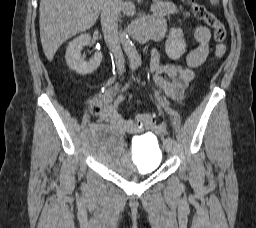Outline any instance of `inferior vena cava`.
Listing matches in <instances>:
<instances>
[{
	"mask_svg": "<svg viewBox=\"0 0 256 228\" xmlns=\"http://www.w3.org/2000/svg\"><path fill=\"white\" fill-rule=\"evenodd\" d=\"M120 5L121 0H104L101 25L106 44L115 57L117 70L122 74L125 71V60L120 46V33L118 32Z\"/></svg>",
	"mask_w": 256,
	"mask_h": 228,
	"instance_id": "inferior-vena-cava-1",
	"label": "inferior vena cava"
}]
</instances>
